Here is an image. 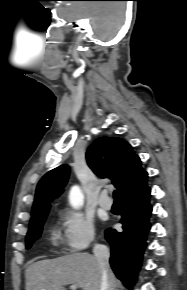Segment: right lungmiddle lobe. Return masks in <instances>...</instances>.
Wrapping results in <instances>:
<instances>
[{
  "instance_id": "dd1d6c3e",
  "label": "right lung middle lobe",
  "mask_w": 187,
  "mask_h": 290,
  "mask_svg": "<svg viewBox=\"0 0 187 290\" xmlns=\"http://www.w3.org/2000/svg\"><path fill=\"white\" fill-rule=\"evenodd\" d=\"M48 213H45L43 215H40L36 219L30 221L29 230L26 236V248L29 249L32 245V243L39 239L41 232H42V226L46 220V216Z\"/></svg>"
}]
</instances>
